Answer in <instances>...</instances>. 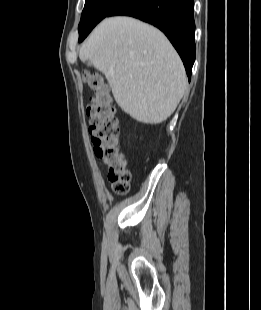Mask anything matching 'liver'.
Segmentation results:
<instances>
[{
	"label": "liver",
	"mask_w": 261,
	"mask_h": 310,
	"mask_svg": "<svg viewBox=\"0 0 261 310\" xmlns=\"http://www.w3.org/2000/svg\"><path fill=\"white\" fill-rule=\"evenodd\" d=\"M79 57L105 75L117 104L142 123L170 117L187 87L182 61L165 35L131 17L104 19Z\"/></svg>",
	"instance_id": "1"
}]
</instances>
